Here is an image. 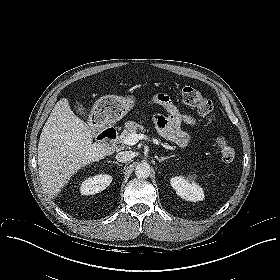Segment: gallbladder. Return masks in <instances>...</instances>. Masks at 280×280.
<instances>
[{
  "label": "gallbladder",
  "instance_id": "obj_1",
  "mask_svg": "<svg viewBox=\"0 0 280 280\" xmlns=\"http://www.w3.org/2000/svg\"><path fill=\"white\" fill-rule=\"evenodd\" d=\"M74 109L76 113L79 114L80 116L87 117V109L82 103L77 102L74 106Z\"/></svg>",
  "mask_w": 280,
  "mask_h": 280
}]
</instances>
